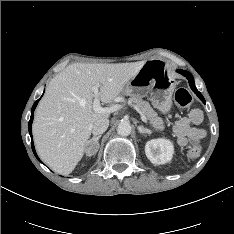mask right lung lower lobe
Returning <instances> with one entry per match:
<instances>
[{
	"label": "right lung lower lobe",
	"instance_id": "obj_1",
	"mask_svg": "<svg viewBox=\"0 0 234 234\" xmlns=\"http://www.w3.org/2000/svg\"><path fill=\"white\" fill-rule=\"evenodd\" d=\"M39 100H40V99H38V100L34 103V105H33V107H32V110H31V118H30V121H29V124H28V129H29V133H30L31 139H32L31 126H32V121H33V117H34V110H35V108H36V106H37ZM31 146H32V150H33V152H34V155H35L36 158L40 161V159L38 158V156H37V154H36V152H35L34 144H33V141H32V140H31Z\"/></svg>",
	"mask_w": 234,
	"mask_h": 234
}]
</instances>
